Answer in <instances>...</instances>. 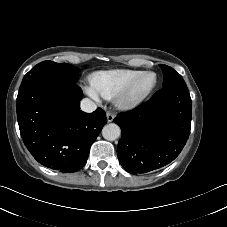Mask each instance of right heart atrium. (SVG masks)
<instances>
[{
    "instance_id": "right-heart-atrium-1",
    "label": "right heart atrium",
    "mask_w": 227,
    "mask_h": 227,
    "mask_svg": "<svg viewBox=\"0 0 227 227\" xmlns=\"http://www.w3.org/2000/svg\"><path fill=\"white\" fill-rule=\"evenodd\" d=\"M88 93L95 99L99 98V95L93 89H89Z\"/></svg>"
}]
</instances>
